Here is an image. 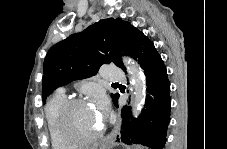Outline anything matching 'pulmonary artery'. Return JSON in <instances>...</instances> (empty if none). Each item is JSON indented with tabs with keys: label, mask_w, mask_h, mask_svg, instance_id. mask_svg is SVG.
Here are the masks:
<instances>
[{
	"label": "pulmonary artery",
	"mask_w": 227,
	"mask_h": 149,
	"mask_svg": "<svg viewBox=\"0 0 227 149\" xmlns=\"http://www.w3.org/2000/svg\"><path fill=\"white\" fill-rule=\"evenodd\" d=\"M103 75L109 82H117L125 78L124 71L121 68L106 65L103 69Z\"/></svg>",
	"instance_id": "pulmonary-artery-1"
}]
</instances>
